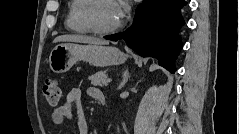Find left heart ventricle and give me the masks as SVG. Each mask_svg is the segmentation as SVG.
<instances>
[{
	"label": "left heart ventricle",
	"instance_id": "obj_1",
	"mask_svg": "<svg viewBox=\"0 0 239 134\" xmlns=\"http://www.w3.org/2000/svg\"><path fill=\"white\" fill-rule=\"evenodd\" d=\"M96 24L102 28H109L120 21L116 2L111 0L100 1L94 10Z\"/></svg>",
	"mask_w": 239,
	"mask_h": 134
}]
</instances>
